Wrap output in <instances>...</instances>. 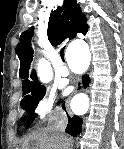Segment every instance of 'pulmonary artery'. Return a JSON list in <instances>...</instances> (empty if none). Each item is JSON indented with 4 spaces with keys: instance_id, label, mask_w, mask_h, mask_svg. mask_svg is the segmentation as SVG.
Returning <instances> with one entry per match:
<instances>
[{
    "instance_id": "obj_1",
    "label": "pulmonary artery",
    "mask_w": 124,
    "mask_h": 149,
    "mask_svg": "<svg viewBox=\"0 0 124 149\" xmlns=\"http://www.w3.org/2000/svg\"><path fill=\"white\" fill-rule=\"evenodd\" d=\"M59 72H60L61 75H64V76H65V75H68V73H69L67 67L61 68V69L59 70Z\"/></svg>"
}]
</instances>
